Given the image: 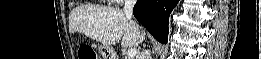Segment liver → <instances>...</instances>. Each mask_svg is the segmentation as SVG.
Listing matches in <instances>:
<instances>
[{"label": "liver", "instance_id": "1", "mask_svg": "<svg viewBox=\"0 0 261 59\" xmlns=\"http://www.w3.org/2000/svg\"><path fill=\"white\" fill-rule=\"evenodd\" d=\"M69 32H80L104 46L122 40V47H137L145 38L139 25L118 8H77L70 14Z\"/></svg>", "mask_w": 261, "mask_h": 59}]
</instances>
